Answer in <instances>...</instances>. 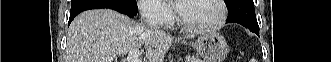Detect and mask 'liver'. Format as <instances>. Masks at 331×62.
Returning <instances> with one entry per match:
<instances>
[{
  "mask_svg": "<svg viewBox=\"0 0 331 62\" xmlns=\"http://www.w3.org/2000/svg\"><path fill=\"white\" fill-rule=\"evenodd\" d=\"M172 41L171 35L113 10H89L79 14L69 27L66 62H113L114 56L142 47L148 62H163Z\"/></svg>",
  "mask_w": 331,
  "mask_h": 62,
  "instance_id": "1",
  "label": "liver"
}]
</instances>
